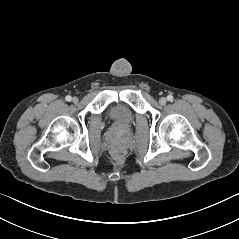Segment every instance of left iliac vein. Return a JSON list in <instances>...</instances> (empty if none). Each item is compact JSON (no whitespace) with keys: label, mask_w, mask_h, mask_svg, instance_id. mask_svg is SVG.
<instances>
[{"label":"left iliac vein","mask_w":239,"mask_h":239,"mask_svg":"<svg viewBox=\"0 0 239 239\" xmlns=\"http://www.w3.org/2000/svg\"><path fill=\"white\" fill-rule=\"evenodd\" d=\"M166 98L165 97H161L160 99H159V103L160 104H162V105H164L165 103H166Z\"/></svg>","instance_id":"obj_1"}]
</instances>
